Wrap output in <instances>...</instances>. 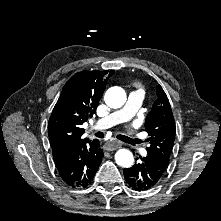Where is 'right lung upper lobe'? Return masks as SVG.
I'll use <instances>...</instances> for the list:
<instances>
[{"mask_svg":"<svg viewBox=\"0 0 221 221\" xmlns=\"http://www.w3.org/2000/svg\"><path fill=\"white\" fill-rule=\"evenodd\" d=\"M114 71H81L63 86L48 123V135L54 160L59 159L83 139L81 125L95 113L105 90L106 81Z\"/></svg>","mask_w":221,"mask_h":221,"instance_id":"cb5924a9","label":"right lung upper lobe"}]
</instances>
